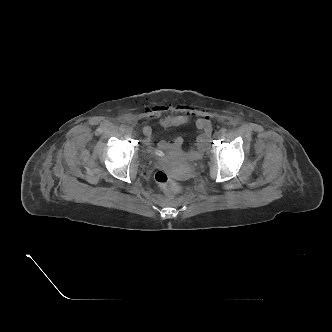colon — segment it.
<instances>
[{"instance_id": "obj_1", "label": "colon", "mask_w": 332, "mask_h": 332, "mask_svg": "<svg viewBox=\"0 0 332 332\" xmlns=\"http://www.w3.org/2000/svg\"><path fill=\"white\" fill-rule=\"evenodd\" d=\"M155 181L167 193H174L179 189V183L163 170L156 172Z\"/></svg>"}]
</instances>
